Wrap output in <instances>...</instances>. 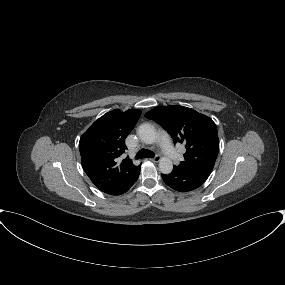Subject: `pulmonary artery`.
I'll use <instances>...</instances> for the list:
<instances>
[{"instance_id":"e3ab8cb5","label":"pulmonary artery","mask_w":285,"mask_h":285,"mask_svg":"<svg viewBox=\"0 0 285 285\" xmlns=\"http://www.w3.org/2000/svg\"><path fill=\"white\" fill-rule=\"evenodd\" d=\"M158 140L161 145V148L163 150V153L169 158V159H177L178 158V153L174 149V147L171 144L169 135L164 132L160 131L158 134Z\"/></svg>"}]
</instances>
